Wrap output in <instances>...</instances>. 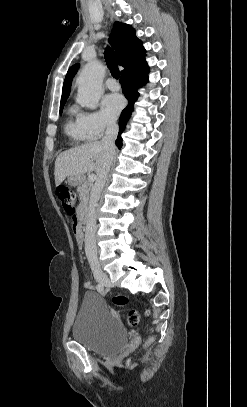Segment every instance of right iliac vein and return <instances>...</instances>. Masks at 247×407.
Segmentation results:
<instances>
[{
    "instance_id": "63e3f726",
    "label": "right iliac vein",
    "mask_w": 247,
    "mask_h": 407,
    "mask_svg": "<svg viewBox=\"0 0 247 407\" xmlns=\"http://www.w3.org/2000/svg\"><path fill=\"white\" fill-rule=\"evenodd\" d=\"M92 271L95 279L102 285L110 287L112 285L107 274L101 269L98 264L92 266Z\"/></svg>"
}]
</instances>
